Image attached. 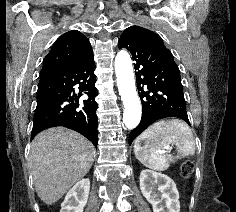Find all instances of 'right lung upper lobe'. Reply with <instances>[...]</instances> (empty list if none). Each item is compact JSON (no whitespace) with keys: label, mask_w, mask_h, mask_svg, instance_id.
<instances>
[{"label":"right lung upper lobe","mask_w":236,"mask_h":212,"mask_svg":"<svg viewBox=\"0 0 236 212\" xmlns=\"http://www.w3.org/2000/svg\"><path fill=\"white\" fill-rule=\"evenodd\" d=\"M89 49H91V44L83 34L77 30L69 31L53 44L44 58L41 72L69 65L81 58Z\"/></svg>","instance_id":"obj_1"}]
</instances>
